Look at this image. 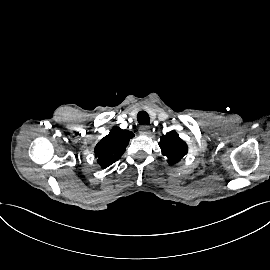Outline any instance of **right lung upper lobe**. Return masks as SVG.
<instances>
[{"instance_id":"cb5924a9","label":"right lung upper lobe","mask_w":270,"mask_h":270,"mask_svg":"<svg viewBox=\"0 0 270 270\" xmlns=\"http://www.w3.org/2000/svg\"><path fill=\"white\" fill-rule=\"evenodd\" d=\"M134 133L114 127L95 147L97 162L104 169L119 160Z\"/></svg>"}]
</instances>
